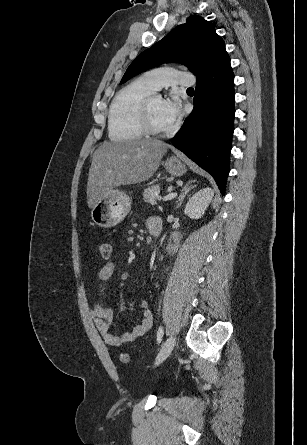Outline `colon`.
Returning a JSON list of instances; mask_svg holds the SVG:
<instances>
[{
  "label": "colon",
  "mask_w": 307,
  "mask_h": 445,
  "mask_svg": "<svg viewBox=\"0 0 307 445\" xmlns=\"http://www.w3.org/2000/svg\"><path fill=\"white\" fill-rule=\"evenodd\" d=\"M97 249L99 254L103 258H109L111 255V245L106 241H99L97 244ZM120 360L123 363H130L132 361V357L129 353H121Z\"/></svg>",
  "instance_id": "5ec220e1"
}]
</instances>
